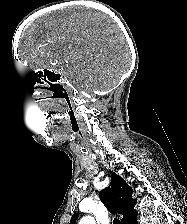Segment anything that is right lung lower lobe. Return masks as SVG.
<instances>
[{"label": "right lung lower lobe", "mask_w": 187, "mask_h": 224, "mask_svg": "<svg viewBox=\"0 0 187 224\" xmlns=\"http://www.w3.org/2000/svg\"><path fill=\"white\" fill-rule=\"evenodd\" d=\"M131 224H138L137 218L131 222Z\"/></svg>", "instance_id": "obj_1"}]
</instances>
